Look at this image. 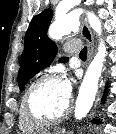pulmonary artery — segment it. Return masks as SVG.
I'll return each mask as SVG.
<instances>
[{"instance_id": "pulmonary-artery-1", "label": "pulmonary artery", "mask_w": 116, "mask_h": 134, "mask_svg": "<svg viewBox=\"0 0 116 134\" xmlns=\"http://www.w3.org/2000/svg\"><path fill=\"white\" fill-rule=\"evenodd\" d=\"M81 48H82L81 41L76 40V39L70 40L63 47L64 51L67 53H78V52H80Z\"/></svg>"}]
</instances>
